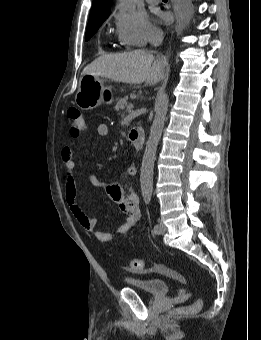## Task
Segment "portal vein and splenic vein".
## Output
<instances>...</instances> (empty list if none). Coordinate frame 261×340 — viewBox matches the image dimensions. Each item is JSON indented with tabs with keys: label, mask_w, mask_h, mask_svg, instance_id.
<instances>
[{
	"label": "portal vein and splenic vein",
	"mask_w": 261,
	"mask_h": 340,
	"mask_svg": "<svg viewBox=\"0 0 261 340\" xmlns=\"http://www.w3.org/2000/svg\"><path fill=\"white\" fill-rule=\"evenodd\" d=\"M133 108H134V104H132V103H130V104L127 106L128 111H131Z\"/></svg>",
	"instance_id": "portal-vein-and-splenic-vein-1"
}]
</instances>
